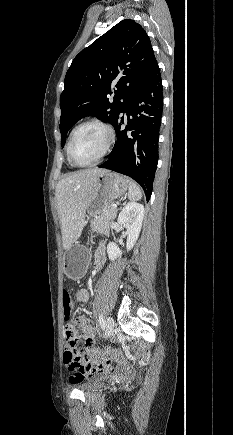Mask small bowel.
Wrapping results in <instances>:
<instances>
[{"instance_id": "small-bowel-1", "label": "small bowel", "mask_w": 233, "mask_h": 435, "mask_svg": "<svg viewBox=\"0 0 233 435\" xmlns=\"http://www.w3.org/2000/svg\"><path fill=\"white\" fill-rule=\"evenodd\" d=\"M106 260V254L103 247L99 248L95 253L94 263H93V272L97 273L99 272L105 263ZM76 299L80 303H86L89 300V293L86 289H80L76 293ZM73 322L81 327L82 329V337L85 341V347L82 349L83 352V358L81 361V364L75 367L73 370L68 371L75 377V378H92V375H101L105 373L107 366L109 365V361L107 359V356H105L102 360H104V363L101 366V369L99 372L95 371H88L86 370L87 364L86 361L90 358L94 357V354L96 351L93 349V346L95 344V330L92 326L87 324V316L81 315L77 316ZM67 349V347H66ZM117 370L121 372H129L131 371V367L127 364L121 365L116 367Z\"/></svg>"}]
</instances>
